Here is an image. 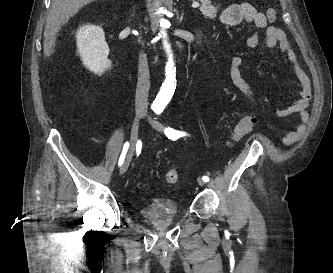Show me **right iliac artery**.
I'll return each mask as SVG.
<instances>
[{
    "label": "right iliac artery",
    "mask_w": 333,
    "mask_h": 273,
    "mask_svg": "<svg viewBox=\"0 0 333 273\" xmlns=\"http://www.w3.org/2000/svg\"><path fill=\"white\" fill-rule=\"evenodd\" d=\"M128 148H129V142H126L123 146V150L118 161L119 166L123 164Z\"/></svg>",
    "instance_id": "82829eb1"
}]
</instances>
